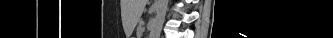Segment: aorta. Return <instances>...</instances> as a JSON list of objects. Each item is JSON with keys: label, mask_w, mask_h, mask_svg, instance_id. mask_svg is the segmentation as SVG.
Returning a JSON list of instances; mask_svg holds the SVG:
<instances>
[{"label": "aorta", "mask_w": 333, "mask_h": 38, "mask_svg": "<svg viewBox=\"0 0 333 38\" xmlns=\"http://www.w3.org/2000/svg\"><path fill=\"white\" fill-rule=\"evenodd\" d=\"M155 17L150 30V38H159L166 16L168 0H155Z\"/></svg>", "instance_id": "1"}]
</instances>
